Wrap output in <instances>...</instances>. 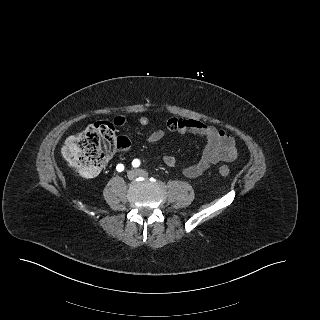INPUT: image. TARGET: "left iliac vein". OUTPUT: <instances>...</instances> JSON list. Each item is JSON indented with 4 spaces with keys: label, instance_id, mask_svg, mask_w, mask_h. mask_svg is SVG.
<instances>
[{
    "label": "left iliac vein",
    "instance_id": "1",
    "mask_svg": "<svg viewBox=\"0 0 320 320\" xmlns=\"http://www.w3.org/2000/svg\"><path fill=\"white\" fill-rule=\"evenodd\" d=\"M138 176H143L146 177L148 175L147 171L143 170V169H137L135 170Z\"/></svg>",
    "mask_w": 320,
    "mask_h": 320
}]
</instances>
